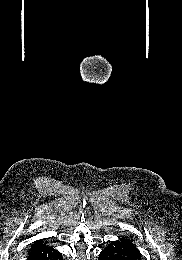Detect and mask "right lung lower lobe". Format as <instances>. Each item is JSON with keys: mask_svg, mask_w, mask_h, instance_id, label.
Masks as SVG:
<instances>
[{"mask_svg": "<svg viewBox=\"0 0 182 260\" xmlns=\"http://www.w3.org/2000/svg\"><path fill=\"white\" fill-rule=\"evenodd\" d=\"M28 260H62V254L42 242H36L31 246Z\"/></svg>", "mask_w": 182, "mask_h": 260, "instance_id": "98d812e1", "label": "right lung lower lobe"}]
</instances>
